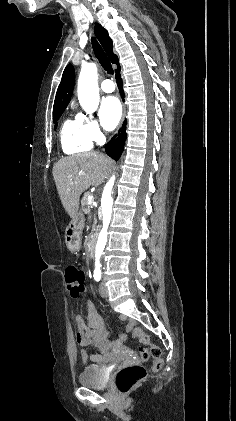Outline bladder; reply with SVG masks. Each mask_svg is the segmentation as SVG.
<instances>
[{"label": "bladder", "mask_w": 236, "mask_h": 421, "mask_svg": "<svg viewBox=\"0 0 236 421\" xmlns=\"http://www.w3.org/2000/svg\"><path fill=\"white\" fill-rule=\"evenodd\" d=\"M79 383L84 386L94 387V388H104L106 387V380L103 373L95 365H87L80 371L78 377Z\"/></svg>", "instance_id": "bladder-1"}]
</instances>
